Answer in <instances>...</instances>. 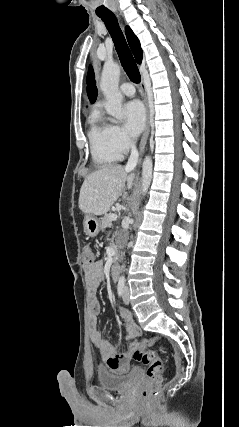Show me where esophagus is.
Instances as JSON below:
<instances>
[{
	"label": "esophagus",
	"instance_id": "34e87169",
	"mask_svg": "<svg viewBox=\"0 0 239 427\" xmlns=\"http://www.w3.org/2000/svg\"><path fill=\"white\" fill-rule=\"evenodd\" d=\"M141 89H142V93H143V99H144V103H145V107H146V125H145V130L143 132L141 141H140V145H139V153L142 154L145 146L147 144V140H148V135H149V131H150V109H149V104H148V98H147V93H146V84L144 79H142L141 81Z\"/></svg>",
	"mask_w": 239,
	"mask_h": 427
}]
</instances>
